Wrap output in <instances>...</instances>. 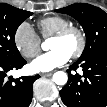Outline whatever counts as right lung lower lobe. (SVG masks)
<instances>
[{
	"instance_id": "1",
	"label": "right lung lower lobe",
	"mask_w": 107,
	"mask_h": 107,
	"mask_svg": "<svg viewBox=\"0 0 107 107\" xmlns=\"http://www.w3.org/2000/svg\"><path fill=\"white\" fill-rule=\"evenodd\" d=\"M26 64L23 58L15 61L0 60V107H28L33 96V82L40 76L6 79L8 71L20 69Z\"/></svg>"
}]
</instances>
